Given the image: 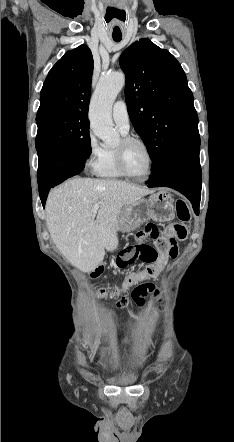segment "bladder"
<instances>
[{
  "label": "bladder",
  "instance_id": "bladder-1",
  "mask_svg": "<svg viewBox=\"0 0 234 442\" xmlns=\"http://www.w3.org/2000/svg\"><path fill=\"white\" fill-rule=\"evenodd\" d=\"M138 380V374L135 371H129L117 378H113L112 382L118 385H133Z\"/></svg>",
  "mask_w": 234,
  "mask_h": 442
}]
</instances>
